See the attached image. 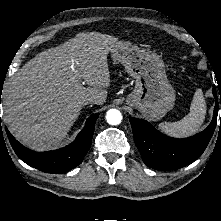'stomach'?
Returning a JSON list of instances; mask_svg holds the SVG:
<instances>
[{
	"label": "stomach",
	"instance_id": "stomach-1",
	"mask_svg": "<svg viewBox=\"0 0 221 221\" xmlns=\"http://www.w3.org/2000/svg\"><path fill=\"white\" fill-rule=\"evenodd\" d=\"M111 56L135 79V88L126 98L128 106L152 121L161 119L173 108L175 92L158 54L130 42L118 41L111 49Z\"/></svg>",
	"mask_w": 221,
	"mask_h": 221
}]
</instances>
